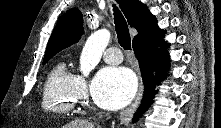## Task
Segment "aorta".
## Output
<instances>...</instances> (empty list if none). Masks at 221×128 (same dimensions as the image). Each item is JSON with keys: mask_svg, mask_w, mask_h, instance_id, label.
Wrapping results in <instances>:
<instances>
[{"mask_svg": "<svg viewBox=\"0 0 221 128\" xmlns=\"http://www.w3.org/2000/svg\"><path fill=\"white\" fill-rule=\"evenodd\" d=\"M109 40L110 32L107 29H100L91 34L87 39L80 56L79 68L85 77H87L99 63Z\"/></svg>", "mask_w": 221, "mask_h": 128, "instance_id": "1", "label": "aorta"}]
</instances>
